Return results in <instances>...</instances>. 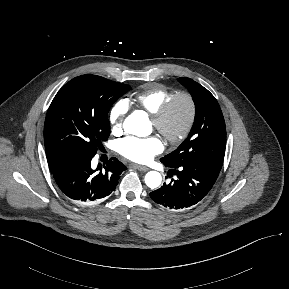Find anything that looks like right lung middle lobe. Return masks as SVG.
Listing matches in <instances>:
<instances>
[{
	"label": "right lung middle lobe",
	"instance_id": "1",
	"mask_svg": "<svg viewBox=\"0 0 289 289\" xmlns=\"http://www.w3.org/2000/svg\"><path fill=\"white\" fill-rule=\"evenodd\" d=\"M129 85L96 75L76 77L56 94L48 109L44 141L48 163L70 155L96 154L110 134L107 114Z\"/></svg>",
	"mask_w": 289,
	"mask_h": 289
}]
</instances>
